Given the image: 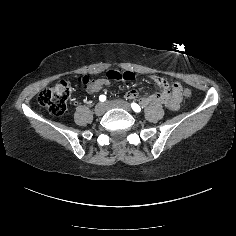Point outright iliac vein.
Wrapping results in <instances>:
<instances>
[{
	"mask_svg": "<svg viewBox=\"0 0 236 236\" xmlns=\"http://www.w3.org/2000/svg\"><path fill=\"white\" fill-rule=\"evenodd\" d=\"M107 110V106H105V104L99 102L98 104H96V106L94 107V113L97 116H101L103 115Z\"/></svg>",
	"mask_w": 236,
	"mask_h": 236,
	"instance_id": "obj_1",
	"label": "right iliac vein"
}]
</instances>
